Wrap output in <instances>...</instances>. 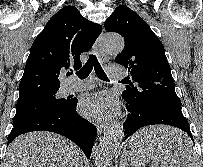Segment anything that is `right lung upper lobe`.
I'll use <instances>...</instances> for the list:
<instances>
[{
    "label": "right lung upper lobe",
    "instance_id": "1",
    "mask_svg": "<svg viewBox=\"0 0 203 167\" xmlns=\"http://www.w3.org/2000/svg\"><path fill=\"white\" fill-rule=\"evenodd\" d=\"M101 31L102 26L88 21L74 6L59 10L31 46L17 105L57 92L62 71L81 67L80 54L91 49Z\"/></svg>",
    "mask_w": 203,
    "mask_h": 167
}]
</instances>
